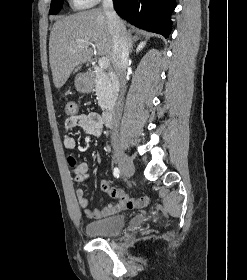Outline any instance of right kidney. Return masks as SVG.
<instances>
[{"label":"right kidney","instance_id":"right-kidney-1","mask_svg":"<svg viewBox=\"0 0 247 280\" xmlns=\"http://www.w3.org/2000/svg\"><path fill=\"white\" fill-rule=\"evenodd\" d=\"M144 46H145V42H141V43L138 45V47H137V49H136V52H139Z\"/></svg>","mask_w":247,"mask_h":280}]
</instances>
